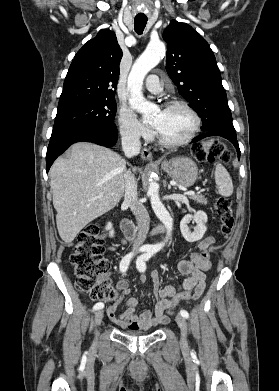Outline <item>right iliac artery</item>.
I'll return each mask as SVG.
<instances>
[{"label": "right iliac artery", "instance_id": "right-iliac-artery-1", "mask_svg": "<svg viewBox=\"0 0 279 391\" xmlns=\"http://www.w3.org/2000/svg\"><path fill=\"white\" fill-rule=\"evenodd\" d=\"M146 250H147L146 248H140V249H139L140 252H144V251H146ZM133 255H134V253L131 252V253L127 254V255L121 260V262H120V271H121L122 273H124V272L127 271L128 266H129V264H130V261H131ZM103 307H104V304L101 303V302H98V303H96V304L94 305L93 309H94V310H99V309H102Z\"/></svg>", "mask_w": 279, "mask_h": 391}]
</instances>
